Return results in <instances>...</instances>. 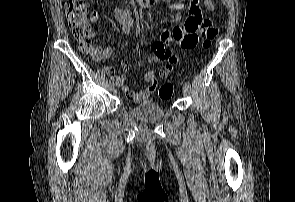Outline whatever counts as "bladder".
<instances>
[{"label":"bladder","mask_w":295,"mask_h":202,"mask_svg":"<svg viewBox=\"0 0 295 202\" xmlns=\"http://www.w3.org/2000/svg\"><path fill=\"white\" fill-rule=\"evenodd\" d=\"M131 117L142 122H156L165 115L164 107L155 99H147L129 110Z\"/></svg>","instance_id":"31cf9c89"}]
</instances>
